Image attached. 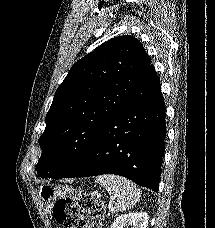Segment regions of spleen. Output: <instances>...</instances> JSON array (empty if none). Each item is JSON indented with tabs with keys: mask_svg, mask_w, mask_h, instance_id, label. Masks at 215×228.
<instances>
[{
	"mask_svg": "<svg viewBox=\"0 0 215 228\" xmlns=\"http://www.w3.org/2000/svg\"><path fill=\"white\" fill-rule=\"evenodd\" d=\"M95 180L97 184H100L102 188L107 190L108 194L116 198V210L118 212L131 210L136 202L140 200L141 192L138 186L133 184L131 180H127V178L113 176V174H104V176H97Z\"/></svg>",
	"mask_w": 215,
	"mask_h": 228,
	"instance_id": "3e777b00",
	"label": "spleen"
}]
</instances>
